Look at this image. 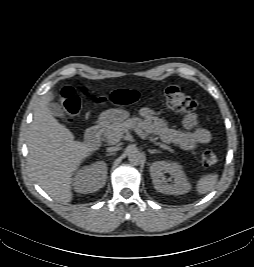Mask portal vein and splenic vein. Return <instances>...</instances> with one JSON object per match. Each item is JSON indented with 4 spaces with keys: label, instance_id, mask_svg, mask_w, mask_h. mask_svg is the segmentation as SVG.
<instances>
[{
    "label": "portal vein and splenic vein",
    "instance_id": "portal-vein-and-splenic-vein-1",
    "mask_svg": "<svg viewBox=\"0 0 254 267\" xmlns=\"http://www.w3.org/2000/svg\"><path fill=\"white\" fill-rule=\"evenodd\" d=\"M134 131H135V132H136L142 139H145L146 135L144 134V132H143L140 128L135 127V128H134ZM119 140H120V137L117 136L116 138H113L112 140H110L109 143H111V144H115V143L119 142Z\"/></svg>",
    "mask_w": 254,
    "mask_h": 267
}]
</instances>
